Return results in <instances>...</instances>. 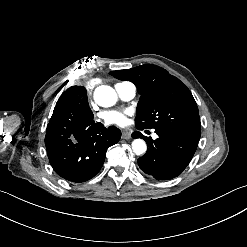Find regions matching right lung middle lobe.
Masks as SVG:
<instances>
[{"label":"right lung middle lobe","instance_id":"1","mask_svg":"<svg viewBox=\"0 0 247 247\" xmlns=\"http://www.w3.org/2000/svg\"><path fill=\"white\" fill-rule=\"evenodd\" d=\"M60 105H70L84 113H90V107L87 100V91L83 86H72L68 88L56 103ZM49 127V125H48ZM49 130H52L49 128ZM54 133V132H51Z\"/></svg>","mask_w":247,"mask_h":247}]
</instances>
